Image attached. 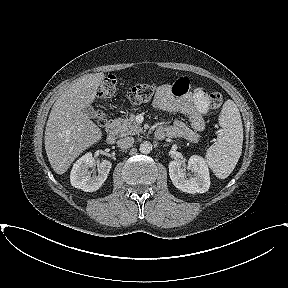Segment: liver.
Masks as SVG:
<instances>
[{
    "mask_svg": "<svg viewBox=\"0 0 288 288\" xmlns=\"http://www.w3.org/2000/svg\"><path fill=\"white\" fill-rule=\"evenodd\" d=\"M103 73L87 74L55 101L45 129V150L51 167L64 174L71 163L102 138L101 129L83 112L96 98Z\"/></svg>",
    "mask_w": 288,
    "mask_h": 288,
    "instance_id": "obj_1",
    "label": "liver"
}]
</instances>
